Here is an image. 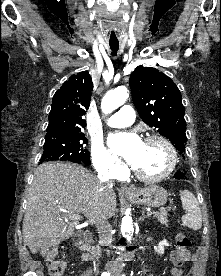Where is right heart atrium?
Here are the masks:
<instances>
[{
    "mask_svg": "<svg viewBox=\"0 0 221 276\" xmlns=\"http://www.w3.org/2000/svg\"><path fill=\"white\" fill-rule=\"evenodd\" d=\"M91 158L98 173L109 178H118L124 172L122 162L109 152L102 142H94L91 148Z\"/></svg>",
    "mask_w": 221,
    "mask_h": 276,
    "instance_id": "1",
    "label": "right heart atrium"
}]
</instances>
